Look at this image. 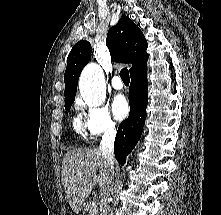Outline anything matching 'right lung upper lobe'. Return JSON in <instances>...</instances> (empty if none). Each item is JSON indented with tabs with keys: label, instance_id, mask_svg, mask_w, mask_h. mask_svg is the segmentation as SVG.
<instances>
[{
	"label": "right lung upper lobe",
	"instance_id": "right-lung-upper-lobe-1",
	"mask_svg": "<svg viewBox=\"0 0 221 215\" xmlns=\"http://www.w3.org/2000/svg\"><path fill=\"white\" fill-rule=\"evenodd\" d=\"M106 45L113 61L132 64L130 74L147 63V41L141 30L127 16H122L109 29ZM91 52V44L86 40L77 42L70 51L64 74L65 102L75 99L79 76L91 59Z\"/></svg>",
	"mask_w": 221,
	"mask_h": 215
}]
</instances>
